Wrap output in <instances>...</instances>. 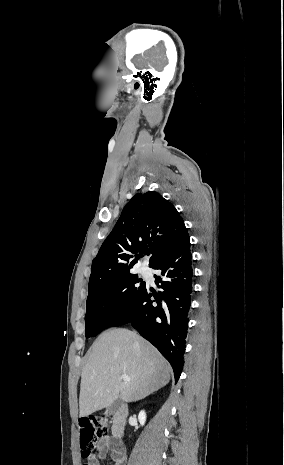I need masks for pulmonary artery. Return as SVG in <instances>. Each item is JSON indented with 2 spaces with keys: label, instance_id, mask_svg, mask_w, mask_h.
<instances>
[{
  "label": "pulmonary artery",
  "instance_id": "e3ab8cb5",
  "mask_svg": "<svg viewBox=\"0 0 284 465\" xmlns=\"http://www.w3.org/2000/svg\"><path fill=\"white\" fill-rule=\"evenodd\" d=\"M139 272H140L141 274H144V273H145V268H140V269H139Z\"/></svg>",
  "mask_w": 284,
  "mask_h": 465
}]
</instances>
